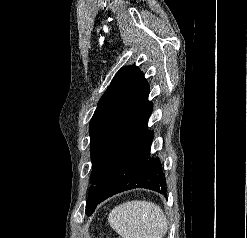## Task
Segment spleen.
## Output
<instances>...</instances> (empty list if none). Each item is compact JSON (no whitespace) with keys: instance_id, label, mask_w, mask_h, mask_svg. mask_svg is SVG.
<instances>
[{"instance_id":"1","label":"spleen","mask_w":247,"mask_h":238,"mask_svg":"<svg viewBox=\"0 0 247 238\" xmlns=\"http://www.w3.org/2000/svg\"><path fill=\"white\" fill-rule=\"evenodd\" d=\"M108 221L122 238H162L168 228L162 209L148 201L122 203L110 212Z\"/></svg>"}]
</instances>
